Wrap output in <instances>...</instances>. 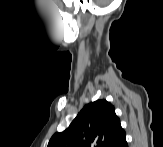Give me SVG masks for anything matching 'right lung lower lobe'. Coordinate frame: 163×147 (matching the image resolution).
Instances as JSON below:
<instances>
[{"label":"right lung lower lobe","mask_w":163,"mask_h":147,"mask_svg":"<svg viewBox=\"0 0 163 147\" xmlns=\"http://www.w3.org/2000/svg\"><path fill=\"white\" fill-rule=\"evenodd\" d=\"M112 147H128L126 142V134L122 136Z\"/></svg>","instance_id":"right-lung-lower-lobe-1"}]
</instances>
